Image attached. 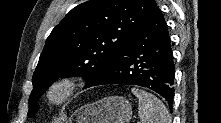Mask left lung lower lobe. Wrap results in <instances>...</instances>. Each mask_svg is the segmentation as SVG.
<instances>
[{
    "instance_id": "1",
    "label": "left lung lower lobe",
    "mask_w": 221,
    "mask_h": 123,
    "mask_svg": "<svg viewBox=\"0 0 221 123\" xmlns=\"http://www.w3.org/2000/svg\"><path fill=\"white\" fill-rule=\"evenodd\" d=\"M174 74L169 32L158 8L118 59L100 72L87 87L105 84L147 87L160 94L172 111Z\"/></svg>"
}]
</instances>
